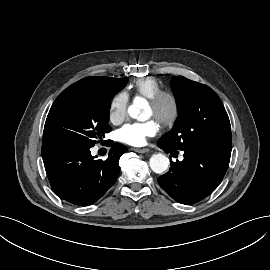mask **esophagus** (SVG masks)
<instances>
[{"mask_svg": "<svg viewBox=\"0 0 270 270\" xmlns=\"http://www.w3.org/2000/svg\"><path fill=\"white\" fill-rule=\"evenodd\" d=\"M133 150L135 152H138V153H147V152H149V149H146V148H134Z\"/></svg>", "mask_w": 270, "mask_h": 270, "instance_id": "34e87169", "label": "esophagus"}]
</instances>
